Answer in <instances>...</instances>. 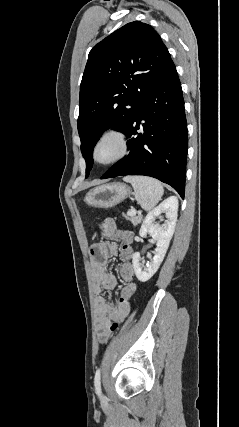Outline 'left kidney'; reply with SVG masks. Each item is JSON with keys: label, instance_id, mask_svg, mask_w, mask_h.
I'll return each instance as SVG.
<instances>
[{"label": "left kidney", "instance_id": "left-kidney-1", "mask_svg": "<svg viewBox=\"0 0 239 427\" xmlns=\"http://www.w3.org/2000/svg\"><path fill=\"white\" fill-rule=\"evenodd\" d=\"M178 212V199L171 196L159 204L156 208L150 211L143 220L139 231L141 237L150 235L156 241L155 255L151 262L146 265L140 263V253L135 252L132 257L133 268L137 279L141 282L149 280L158 270L162 263L170 240L173 236ZM165 213L167 220L161 226L155 224V218Z\"/></svg>", "mask_w": 239, "mask_h": 427}]
</instances>
